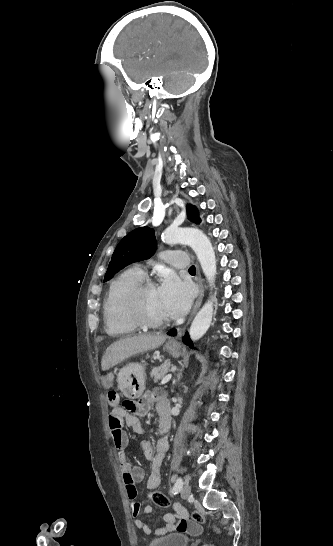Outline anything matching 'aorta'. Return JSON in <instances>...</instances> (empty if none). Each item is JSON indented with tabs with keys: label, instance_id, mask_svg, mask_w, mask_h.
Returning <instances> with one entry per match:
<instances>
[{
	"label": "aorta",
	"instance_id": "obj_1",
	"mask_svg": "<svg viewBox=\"0 0 333 546\" xmlns=\"http://www.w3.org/2000/svg\"><path fill=\"white\" fill-rule=\"evenodd\" d=\"M163 239L167 243H181L190 246L201 265L210 286L214 285L216 276V257L208 237L197 228L167 229ZM213 316V302L208 301L195 316L189 335L191 340H199L209 329Z\"/></svg>",
	"mask_w": 333,
	"mask_h": 546
}]
</instances>
